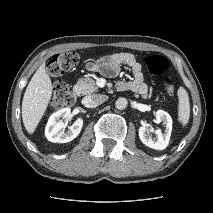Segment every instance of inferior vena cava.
<instances>
[{
  "label": "inferior vena cava",
  "mask_w": 213,
  "mask_h": 213,
  "mask_svg": "<svg viewBox=\"0 0 213 213\" xmlns=\"http://www.w3.org/2000/svg\"><path fill=\"white\" fill-rule=\"evenodd\" d=\"M107 100L106 95L93 94L83 98L82 103L88 108H94Z\"/></svg>",
  "instance_id": "obj_1"
}]
</instances>
